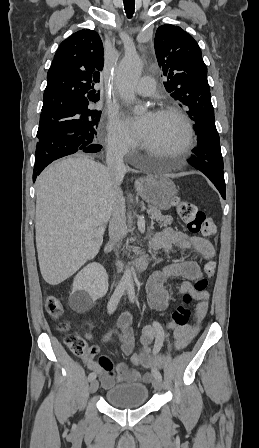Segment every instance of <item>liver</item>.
I'll return each instance as SVG.
<instances>
[{
    "mask_svg": "<svg viewBox=\"0 0 259 448\" xmlns=\"http://www.w3.org/2000/svg\"><path fill=\"white\" fill-rule=\"evenodd\" d=\"M90 156L56 160L36 180V248L43 280L51 286L97 256L96 228L110 220L120 184Z\"/></svg>",
    "mask_w": 259,
    "mask_h": 448,
    "instance_id": "obj_1",
    "label": "liver"
}]
</instances>
